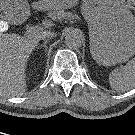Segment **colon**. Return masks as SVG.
<instances>
[{"label": "colon", "instance_id": "colon-1", "mask_svg": "<svg viewBox=\"0 0 135 135\" xmlns=\"http://www.w3.org/2000/svg\"><path fill=\"white\" fill-rule=\"evenodd\" d=\"M127 4H128V7L130 8V10L135 12V0H127Z\"/></svg>", "mask_w": 135, "mask_h": 135}]
</instances>
